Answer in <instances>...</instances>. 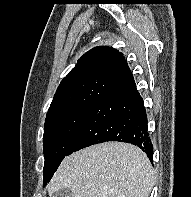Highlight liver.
<instances>
[{
    "label": "liver",
    "mask_w": 191,
    "mask_h": 197,
    "mask_svg": "<svg viewBox=\"0 0 191 197\" xmlns=\"http://www.w3.org/2000/svg\"><path fill=\"white\" fill-rule=\"evenodd\" d=\"M154 170L147 155L123 142L93 145L67 156L47 185L48 194L73 197H149Z\"/></svg>",
    "instance_id": "liver-1"
}]
</instances>
